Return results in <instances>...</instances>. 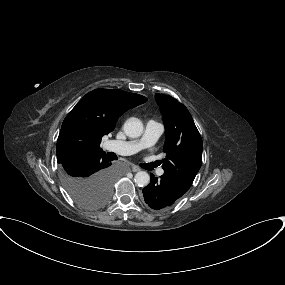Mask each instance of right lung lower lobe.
<instances>
[{
	"label": "right lung lower lobe",
	"instance_id": "98d812e1",
	"mask_svg": "<svg viewBox=\"0 0 285 285\" xmlns=\"http://www.w3.org/2000/svg\"><path fill=\"white\" fill-rule=\"evenodd\" d=\"M111 159L104 151L88 152L60 164L71 174L81 178H110L114 177Z\"/></svg>",
	"mask_w": 285,
	"mask_h": 285
}]
</instances>
